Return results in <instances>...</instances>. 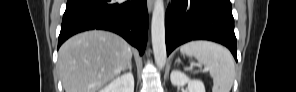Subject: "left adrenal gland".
<instances>
[{
	"label": "left adrenal gland",
	"mask_w": 296,
	"mask_h": 92,
	"mask_svg": "<svg viewBox=\"0 0 296 92\" xmlns=\"http://www.w3.org/2000/svg\"><path fill=\"white\" fill-rule=\"evenodd\" d=\"M180 58L178 57L177 60L175 61V63H180Z\"/></svg>",
	"instance_id": "a2214340"
}]
</instances>
